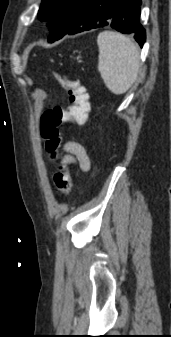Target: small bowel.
Wrapping results in <instances>:
<instances>
[{
    "label": "small bowel",
    "mask_w": 171,
    "mask_h": 337,
    "mask_svg": "<svg viewBox=\"0 0 171 337\" xmlns=\"http://www.w3.org/2000/svg\"><path fill=\"white\" fill-rule=\"evenodd\" d=\"M59 159L61 163L76 166L83 172L88 171L91 167L86 149L74 141H68L64 144Z\"/></svg>",
    "instance_id": "obj_1"
}]
</instances>
